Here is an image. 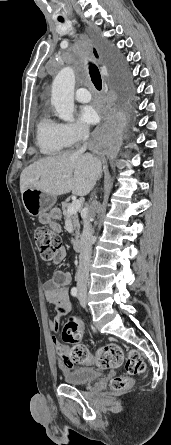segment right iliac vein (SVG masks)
Here are the masks:
<instances>
[{"instance_id": "obj_1", "label": "right iliac vein", "mask_w": 171, "mask_h": 445, "mask_svg": "<svg viewBox=\"0 0 171 445\" xmlns=\"http://www.w3.org/2000/svg\"><path fill=\"white\" fill-rule=\"evenodd\" d=\"M81 296H82V298H83V299H84L85 301H87V299H88V298H87V295H86V293H84V292H83V293H81Z\"/></svg>"}]
</instances>
